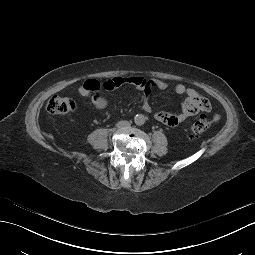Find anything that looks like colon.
<instances>
[{"label": "colon", "mask_w": 255, "mask_h": 255, "mask_svg": "<svg viewBox=\"0 0 255 255\" xmlns=\"http://www.w3.org/2000/svg\"><path fill=\"white\" fill-rule=\"evenodd\" d=\"M77 108L76 101L70 97L53 96L47 102L46 109L51 114H67L75 111ZM219 115H215L212 120L200 117L194 120L188 128L190 137H199L210 129L212 124L218 122Z\"/></svg>", "instance_id": "1"}]
</instances>
